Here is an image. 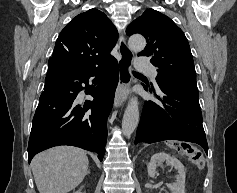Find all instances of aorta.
Masks as SVG:
<instances>
[{"label":"aorta","instance_id":"1","mask_svg":"<svg viewBox=\"0 0 237 193\" xmlns=\"http://www.w3.org/2000/svg\"><path fill=\"white\" fill-rule=\"evenodd\" d=\"M129 48L134 52L142 51L146 46L145 38L140 34L130 36L128 40ZM139 123V107L136 97H132L124 112L122 120V132L125 136H130Z\"/></svg>","mask_w":237,"mask_h":193}]
</instances>
